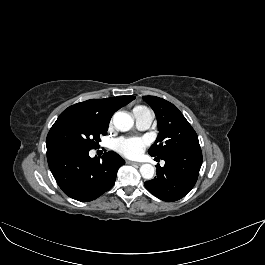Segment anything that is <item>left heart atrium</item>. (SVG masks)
I'll list each match as a JSON object with an SVG mask.
<instances>
[{
    "instance_id": "1",
    "label": "left heart atrium",
    "mask_w": 265,
    "mask_h": 265,
    "mask_svg": "<svg viewBox=\"0 0 265 265\" xmlns=\"http://www.w3.org/2000/svg\"><path fill=\"white\" fill-rule=\"evenodd\" d=\"M146 144L141 138H120L115 143L116 150L126 157H137Z\"/></svg>"
}]
</instances>
